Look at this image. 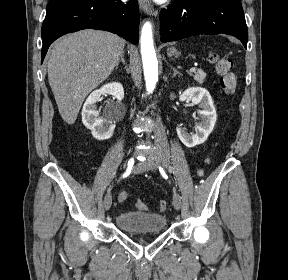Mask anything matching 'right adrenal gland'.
I'll list each match as a JSON object with an SVG mask.
<instances>
[{
  "label": "right adrenal gland",
  "instance_id": "right-adrenal-gland-1",
  "mask_svg": "<svg viewBox=\"0 0 288 280\" xmlns=\"http://www.w3.org/2000/svg\"><path fill=\"white\" fill-rule=\"evenodd\" d=\"M120 62H122L124 65H126V62H125V59H124V54L121 55L120 61L117 63V65L115 67L116 70L118 69V66H119Z\"/></svg>",
  "mask_w": 288,
  "mask_h": 280
}]
</instances>
